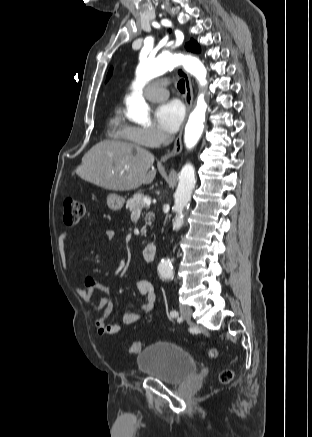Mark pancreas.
Segmentation results:
<instances>
[{"mask_svg": "<svg viewBox=\"0 0 312 437\" xmlns=\"http://www.w3.org/2000/svg\"><path fill=\"white\" fill-rule=\"evenodd\" d=\"M143 199H144L143 194H134L133 197L127 201L126 208L129 209L130 211H136L139 210L140 208H146L147 205L144 203ZM152 219H153V214L148 213L146 216V225H151ZM141 234L142 235L146 234V226L142 228Z\"/></svg>", "mask_w": 312, "mask_h": 437, "instance_id": "cf45deb5", "label": "pancreas"}]
</instances>
